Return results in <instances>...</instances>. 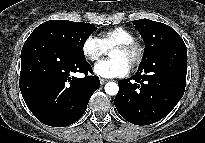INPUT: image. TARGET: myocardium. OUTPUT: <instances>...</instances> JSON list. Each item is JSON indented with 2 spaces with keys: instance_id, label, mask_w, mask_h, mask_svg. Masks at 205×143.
<instances>
[{
  "instance_id": "myocardium-1",
  "label": "myocardium",
  "mask_w": 205,
  "mask_h": 143,
  "mask_svg": "<svg viewBox=\"0 0 205 143\" xmlns=\"http://www.w3.org/2000/svg\"><path fill=\"white\" fill-rule=\"evenodd\" d=\"M113 49H119L126 52H132L133 53V59L130 63V68L134 69L138 67L143 59L145 54V48L142 43H140L137 40L127 41L123 43H119L113 47Z\"/></svg>"
}]
</instances>
